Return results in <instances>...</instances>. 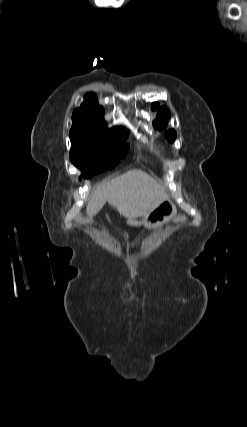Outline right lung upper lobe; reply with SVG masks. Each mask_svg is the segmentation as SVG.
I'll use <instances>...</instances> for the list:
<instances>
[{
	"mask_svg": "<svg viewBox=\"0 0 247 427\" xmlns=\"http://www.w3.org/2000/svg\"><path fill=\"white\" fill-rule=\"evenodd\" d=\"M103 115V107L98 104L96 96L89 93L85 95V101L81 107L74 110L72 120L75 125L107 129ZM114 129H120V127L112 130Z\"/></svg>",
	"mask_w": 247,
	"mask_h": 427,
	"instance_id": "cb5924a9",
	"label": "right lung upper lobe"
}]
</instances>
